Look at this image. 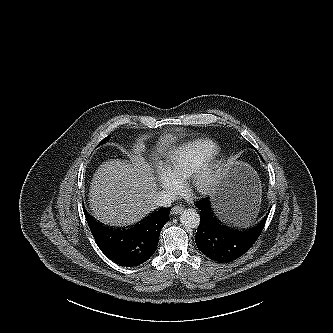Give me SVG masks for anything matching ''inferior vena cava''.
<instances>
[{
	"label": "inferior vena cava",
	"mask_w": 333,
	"mask_h": 333,
	"mask_svg": "<svg viewBox=\"0 0 333 333\" xmlns=\"http://www.w3.org/2000/svg\"><path fill=\"white\" fill-rule=\"evenodd\" d=\"M175 199L176 196L173 192L162 190L156 193L152 200V203L154 204V206L158 207H169L175 201Z\"/></svg>",
	"instance_id": "obj_1"
}]
</instances>
